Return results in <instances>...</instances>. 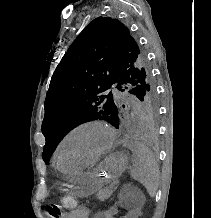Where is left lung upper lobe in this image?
Returning <instances> with one entry per match:
<instances>
[{
	"instance_id": "1",
	"label": "left lung upper lobe",
	"mask_w": 211,
	"mask_h": 218,
	"mask_svg": "<svg viewBox=\"0 0 211 218\" xmlns=\"http://www.w3.org/2000/svg\"><path fill=\"white\" fill-rule=\"evenodd\" d=\"M112 85L139 98L135 115L155 129L158 104L146 52L119 20L97 17L74 40L52 75L42 123L46 164L58 143L79 124L102 119L119 128L128 105L109 92Z\"/></svg>"
}]
</instances>
